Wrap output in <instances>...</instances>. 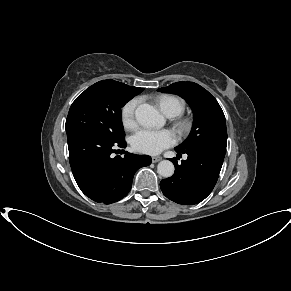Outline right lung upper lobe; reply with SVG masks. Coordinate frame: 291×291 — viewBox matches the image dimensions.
Segmentation results:
<instances>
[{
	"label": "right lung upper lobe",
	"instance_id": "right-lung-upper-lobe-1",
	"mask_svg": "<svg viewBox=\"0 0 291 291\" xmlns=\"http://www.w3.org/2000/svg\"><path fill=\"white\" fill-rule=\"evenodd\" d=\"M105 82H108L116 87H119V88H123V89H126V90H129V91H132V92H135L137 94L141 93L143 91V88H139V87H131V86H128L124 83H121V82H117V81H114V80H103Z\"/></svg>",
	"mask_w": 291,
	"mask_h": 291
}]
</instances>
